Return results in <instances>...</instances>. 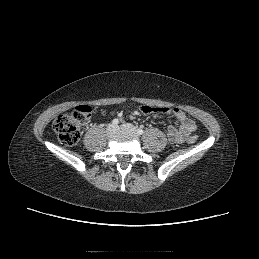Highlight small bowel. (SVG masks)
Instances as JSON below:
<instances>
[{
  "label": "small bowel",
  "mask_w": 259,
  "mask_h": 259,
  "mask_svg": "<svg viewBox=\"0 0 259 259\" xmlns=\"http://www.w3.org/2000/svg\"><path fill=\"white\" fill-rule=\"evenodd\" d=\"M140 111L142 113H152L161 115L162 112L166 115L173 117L177 124L168 127L166 130V136L172 143H180L184 139L196 130V123L194 120L189 118L185 112L178 108H158L156 106L141 105Z\"/></svg>",
  "instance_id": "obj_1"
}]
</instances>
